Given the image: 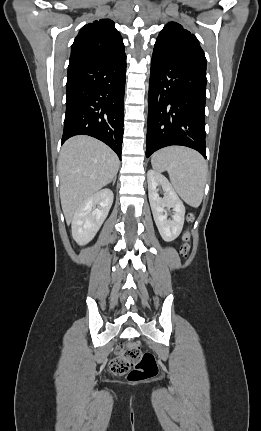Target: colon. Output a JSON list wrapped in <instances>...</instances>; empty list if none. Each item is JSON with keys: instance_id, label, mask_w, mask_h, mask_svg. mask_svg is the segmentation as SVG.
I'll use <instances>...</instances> for the list:
<instances>
[{"instance_id": "5ec220e1", "label": "colon", "mask_w": 261, "mask_h": 431, "mask_svg": "<svg viewBox=\"0 0 261 431\" xmlns=\"http://www.w3.org/2000/svg\"><path fill=\"white\" fill-rule=\"evenodd\" d=\"M188 222L193 221V215H188ZM190 235H184V243L180 248L181 255L188 259L191 255ZM110 371L115 375H128L132 383H139L154 378L158 373L155 357L150 352H142L136 343L122 344L109 363Z\"/></svg>"}]
</instances>
